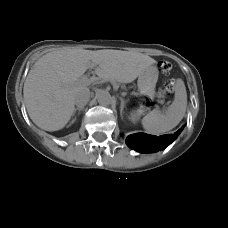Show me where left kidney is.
I'll return each mask as SVG.
<instances>
[{
  "label": "left kidney",
  "mask_w": 228,
  "mask_h": 228,
  "mask_svg": "<svg viewBox=\"0 0 228 228\" xmlns=\"http://www.w3.org/2000/svg\"><path fill=\"white\" fill-rule=\"evenodd\" d=\"M130 119H131V121H132L133 123H136L137 120L139 119V115L133 113V114H131Z\"/></svg>",
  "instance_id": "left-kidney-1"
}]
</instances>
